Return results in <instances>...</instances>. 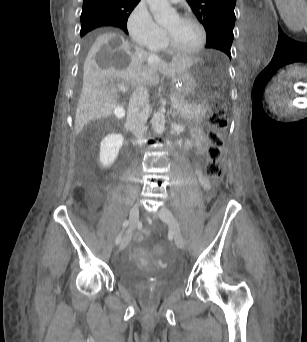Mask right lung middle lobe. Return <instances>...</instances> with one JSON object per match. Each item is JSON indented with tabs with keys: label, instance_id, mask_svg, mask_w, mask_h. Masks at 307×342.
Masks as SVG:
<instances>
[{
	"label": "right lung middle lobe",
	"instance_id": "right-lung-middle-lobe-1",
	"mask_svg": "<svg viewBox=\"0 0 307 342\" xmlns=\"http://www.w3.org/2000/svg\"><path fill=\"white\" fill-rule=\"evenodd\" d=\"M112 21V17L108 14L96 11H82L80 34L81 36H84L87 32L97 27L107 26L111 24Z\"/></svg>",
	"mask_w": 307,
	"mask_h": 342
}]
</instances>
